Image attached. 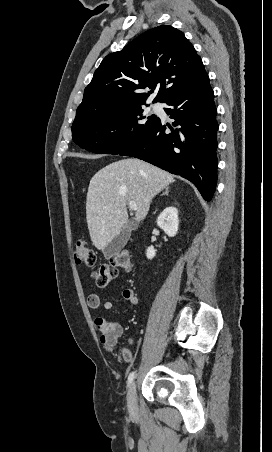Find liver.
<instances>
[{
    "mask_svg": "<svg viewBox=\"0 0 272 452\" xmlns=\"http://www.w3.org/2000/svg\"><path fill=\"white\" fill-rule=\"evenodd\" d=\"M174 177L140 159L128 158L100 169L90 180L86 200L87 225L93 245L103 250L128 222L127 203L137 205L135 220L145 219L152 199Z\"/></svg>",
    "mask_w": 272,
    "mask_h": 452,
    "instance_id": "6515ba94",
    "label": "liver"
}]
</instances>
